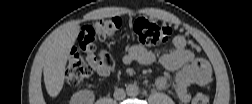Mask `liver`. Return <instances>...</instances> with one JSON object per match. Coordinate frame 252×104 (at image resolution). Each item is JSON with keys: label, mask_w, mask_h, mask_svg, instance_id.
I'll use <instances>...</instances> for the list:
<instances>
[{"label": "liver", "mask_w": 252, "mask_h": 104, "mask_svg": "<svg viewBox=\"0 0 252 104\" xmlns=\"http://www.w3.org/2000/svg\"><path fill=\"white\" fill-rule=\"evenodd\" d=\"M80 26L68 25L56 32L51 40L44 58V83L47 93L56 97L62 90L65 79V67Z\"/></svg>", "instance_id": "liver-1"}]
</instances>
